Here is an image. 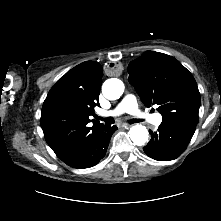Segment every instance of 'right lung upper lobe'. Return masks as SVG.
Returning a JSON list of instances; mask_svg holds the SVG:
<instances>
[{
  "label": "right lung upper lobe",
  "mask_w": 221,
  "mask_h": 221,
  "mask_svg": "<svg viewBox=\"0 0 221 221\" xmlns=\"http://www.w3.org/2000/svg\"><path fill=\"white\" fill-rule=\"evenodd\" d=\"M101 78L98 62H83L57 81L43 103L40 123L44 137L61 160L104 127L99 121L91 120L95 116L94 106H99Z\"/></svg>",
  "instance_id": "1"
}]
</instances>
